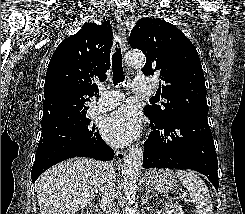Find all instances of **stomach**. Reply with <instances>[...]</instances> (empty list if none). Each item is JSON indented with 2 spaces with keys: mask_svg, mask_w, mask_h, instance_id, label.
I'll use <instances>...</instances> for the list:
<instances>
[{
  "mask_svg": "<svg viewBox=\"0 0 245 214\" xmlns=\"http://www.w3.org/2000/svg\"><path fill=\"white\" fill-rule=\"evenodd\" d=\"M148 184L161 193L172 191L177 186L176 177L169 169L150 171L148 174Z\"/></svg>",
  "mask_w": 245,
  "mask_h": 214,
  "instance_id": "stomach-1",
  "label": "stomach"
}]
</instances>
